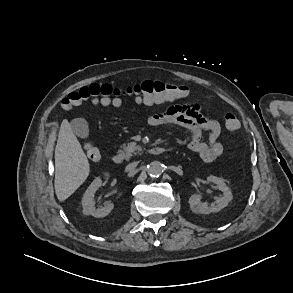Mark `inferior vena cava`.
Wrapping results in <instances>:
<instances>
[{"label": "inferior vena cava", "instance_id": "inferior-vena-cava-1", "mask_svg": "<svg viewBox=\"0 0 293 293\" xmlns=\"http://www.w3.org/2000/svg\"><path fill=\"white\" fill-rule=\"evenodd\" d=\"M138 165V162H133L130 163L126 166V171H132L136 168V166Z\"/></svg>", "mask_w": 293, "mask_h": 293}]
</instances>
